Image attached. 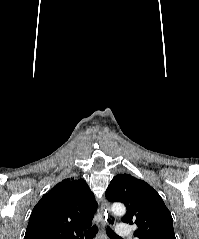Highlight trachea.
<instances>
[{"instance_id":"3493384b","label":"trachea","mask_w":199,"mask_h":239,"mask_svg":"<svg viewBox=\"0 0 199 239\" xmlns=\"http://www.w3.org/2000/svg\"><path fill=\"white\" fill-rule=\"evenodd\" d=\"M106 231H107V235L111 239H121L110 227H107ZM97 232H98V227L97 226H93L90 230H88V231H86L84 233L85 239H94V237L96 236Z\"/></svg>"}]
</instances>
